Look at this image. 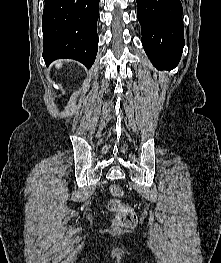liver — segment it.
Segmentation results:
<instances>
[{"instance_id":"obj_1","label":"liver","mask_w":221,"mask_h":263,"mask_svg":"<svg viewBox=\"0 0 221 263\" xmlns=\"http://www.w3.org/2000/svg\"><path fill=\"white\" fill-rule=\"evenodd\" d=\"M56 67L60 68L61 67V63L60 62H56Z\"/></svg>"}]
</instances>
